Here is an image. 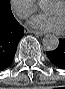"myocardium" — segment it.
I'll return each instance as SVG.
<instances>
[{"instance_id":"obj_1","label":"myocardium","mask_w":65,"mask_h":89,"mask_svg":"<svg viewBox=\"0 0 65 89\" xmlns=\"http://www.w3.org/2000/svg\"><path fill=\"white\" fill-rule=\"evenodd\" d=\"M55 3H60L65 7V1H63V0H56Z\"/></svg>"}]
</instances>
